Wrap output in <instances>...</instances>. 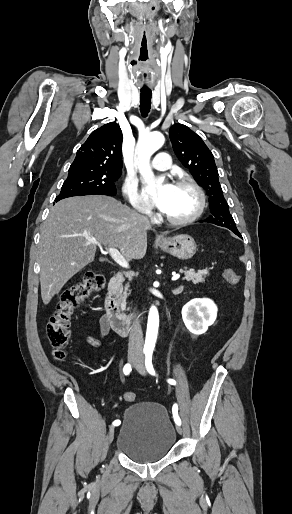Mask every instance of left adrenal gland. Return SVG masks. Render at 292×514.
<instances>
[{
	"mask_svg": "<svg viewBox=\"0 0 292 514\" xmlns=\"http://www.w3.org/2000/svg\"><path fill=\"white\" fill-rule=\"evenodd\" d=\"M183 286H180V288H177V290H173L174 294H180L182 292Z\"/></svg>",
	"mask_w": 292,
	"mask_h": 514,
	"instance_id": "1",
	"label": "left adrenal gland"
}]
</instances>
